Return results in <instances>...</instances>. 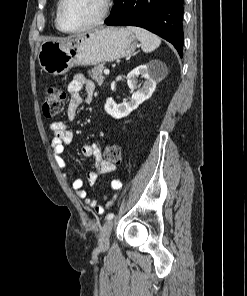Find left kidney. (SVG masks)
<instances>
[{"instance_id":"5707ae66","label":"left kidney","mask_w":247,"mask_h":296,"mask_svg":"<svg viewBox=\"0 0 247 296\" xmlns=\"http://www.w3.org/2000/svg\"><path fill=\"white\" fill-rule=\"evenodd\" d=\"M153 63L140 65L127 75V83L133 94L129 101L117 104L112 98H108L105 103V111L115 119L128 116L140 104L149 99L155 91L157 75L153 72ZM141 76L145 79L142 87L135 91L138 86L137 78Z\"/></svg>"}]
</instances>
